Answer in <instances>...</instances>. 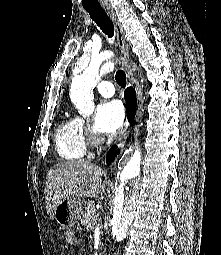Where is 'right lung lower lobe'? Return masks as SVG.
Here are the masks:
<instances>
[{
  "mask_svg": "<svg viewBox=\"0 0 221 255\" xmlns=\"http://www.w3.org/2000/svg\"><path fill=\"white\" fill-rule=\"evenodd\" d=\"M125 100L127 103L128 120L132 121L135 115L136 108V93L132 87H129L125 90ZM116 148H117L116 146H113L107 153L106 157L107 163L113 161L115 155L118 153V151H116Z\"/></svg>",
  "mask_w": 221,
  "mask_h": 255,
  "instance_id": "obj_1",
  "label": "right lung lower lobe"
}]
</instances>
